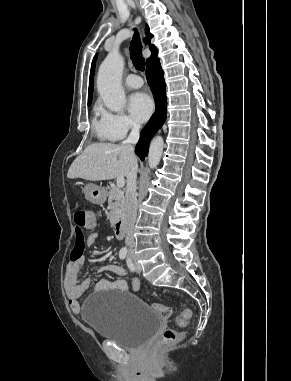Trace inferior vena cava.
Returning a JSON list of instances; mask_svg holds the SVG:
<instances>
[{
  "label": "inferior vena cava",
  "mask_w": 291,
  "mask_h": 381,
  "mask_svg": "<svg viewBox=\"0 0 291 381\" xmlns=\"http://www.w3.org/2000/svg\"><path fill=\"white\" fill-rule=\"evenodd\" d=\"M139 130L140 125L137 123L132 124V130L128 138L122 142V145L127 148L134 155V147L139 140ZM137 161L135 159L131 170L127 175V189H126V204H125V217H126V239L125 244L128 247V252L133 253V244H134V224L137 216Z\"/></svg>",
  "instance_id": "1"
}]
</instances>
